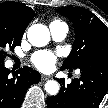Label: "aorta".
<instances>
[{"mask_svg":"<svg viewBox=\"0 0 108 108\" xmlns=\"http://www.w3.org/2000/svg\"><path fill=\"white\" fill-rule=\"evenodd\" d=\"M28 41L35 47H43L50 41L49 29L43 24L32 25L27 32ZM60 86L57 81L49 80L45 83V91L50 95H56Z\"/></svg>","mask_w":108,"mask_h":108,"instance_id":"obj_1","label":"aorta"}]
</instances>
